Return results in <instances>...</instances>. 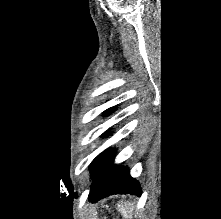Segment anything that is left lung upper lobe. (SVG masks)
<instances>
[{"mask_svg": "<svg viewBox=\"0 0 221 219\" xmlns=\"http://www.w3.org/2000/svg\"><path fill=\"white\" fill-rule=\"evenodd\" d=\"M112 110L111 109H109L107 112H111Z\"/></svg>", "mask_w": 221, "mask_h": 219, "instance_id": "1", "label": "left lung upper lobe"}]
</instances>
